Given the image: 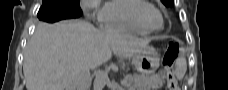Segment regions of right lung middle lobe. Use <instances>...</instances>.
<instances>
[{
  "label": "right lung middle lobe",
  "mask_w": 228,
  "mask_h": 90,
  "mask_svg": "<svg viewBox=\"0 0 228 90\" xmlns=\"http://www.w3.org/2000/svg\"><path fill=\"white\" fill-rule=\"evenodd\" d=\"M43 3L56 6L62 13L72 18L81 16L80 0H43Z\"/></svg>",
  "instance_id": "right-lung-middle-lobe-1"
}]
</instances>
